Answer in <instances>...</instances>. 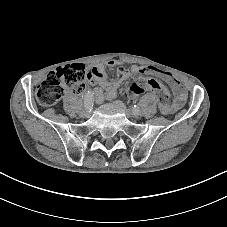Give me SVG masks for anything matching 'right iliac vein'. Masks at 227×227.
Here are the masks:
<instances>
[{"mask_svg":"<svg viewBox=\"0 0 227 227\" xmlns=\"http://www.w3.org/2000/svg\"><path fill=\"white\" fill-rule=\"evenodd\" d=\"M80 115H81L82 117H88V116L90 115V112L87 111V110H82V111L80 112Z\"/></svg>","mask_w":227,"mask_h":227,"instance_id":"63e3f726","label":"right iliac vein"}]
</instances>
